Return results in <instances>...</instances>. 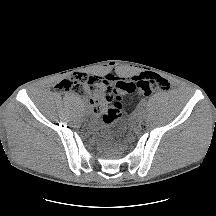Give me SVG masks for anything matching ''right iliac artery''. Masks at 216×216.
Returning <instances> with one entry per match:
<instances>
[{
	"mask_svg": "<svg viewBox=\"0 0 216 216\" xmlns=\"http://www.w3.org/2000/svg\"><path fill=\"white\" fill-rule=\"evenodd\" d=\"M80 108L85 110V111L88 109L87 106L84 103L80 104Z\"/></svg>",
	"mask_w": 216,
	"mask_h": 216,
	"instance_id": "1",
	"label": "right iliac artery"
}]
</instances>
